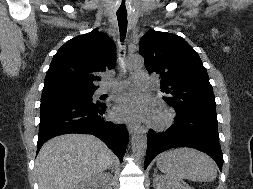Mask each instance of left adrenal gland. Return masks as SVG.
<instances>
[{
	"label": "left adrenal gland",
	"mask_w": 253,
	"mask_h": 189,
	"mask_svg": "<svg viewBox=\"0 0 253 189\" xmlns=\"http://www.w3.org/2000/svg\"><path fill=\"white\" fill-rule=\"evenodd\" d=\"M157 174V169H154V176H156Z\"/></svg>",
	"instance_id": "obj_1"
}]
</instances>
